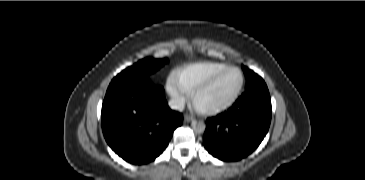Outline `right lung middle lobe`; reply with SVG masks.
<instances>
[{
	"mask_svg": "<svg viewBox=\"0 0 365 180\" xmlns=\"http://www.w3.org/2000/svg\"><path fill=\"white\" fill-rule=\"evenodd\" d=\"M167 62V59L145 58L119 73L111 81L108 88L123 84L129 80H140L148 78V75L158 70Z\"/></svg>",
	"mask_w": 365,
	"mask_h": 180,
	"instance_id": "1",
	"label": "right lung middle lobe"
}]
</instances>
